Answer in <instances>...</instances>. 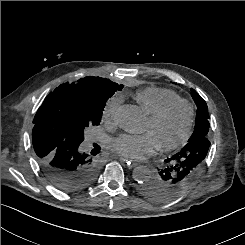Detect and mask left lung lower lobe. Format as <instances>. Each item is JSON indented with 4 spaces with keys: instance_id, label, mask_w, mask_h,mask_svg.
I'll return each mask as SVG.
<instances>
[{
    "instance_id": "0a47b994",
    "label": "left lung lower lobe",
    "mask_w": 245,
    "mask_h": 245,
    "mask_svg": "<svg viewBox=\"0 0 245 245\" xmlns=\"http://www.w3.org/2000/svg\"><path fill=\"white\" fill-rule=\"evenodd\" d=\"M210 147L207 137L188 141L182 150L166 159L158 175L144 182L140 192L156 202L169 201L182 193L199 173Z\"/></svg>"
}]
</instances>
